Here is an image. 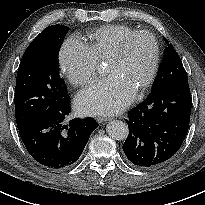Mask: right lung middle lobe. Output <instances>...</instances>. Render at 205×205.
Here are the masks:
<instances>
[{
	"label": "right lung middle lobe",
	"mask_w": 205,
	"mask_h": 205,
	"mask_svg": "<svg viewBox=\"0 0 205 205\" xmlns=\"http://www.w3.org/2000/svg\"><path fill=\"white\" fill-rule=\"evenodd\" d=\"M69 28L52 25L31 42L23 54L15 87V116L18 129L52 105L70 97L60 76L58 54Z\"/></svg>",
	"instance_id": "dd1d6c3e"
}]
</instances>
